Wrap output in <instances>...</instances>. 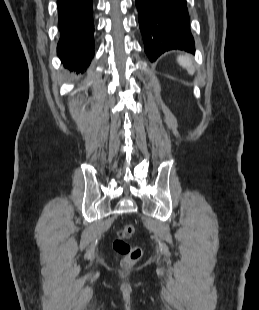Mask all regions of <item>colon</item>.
Here are the masks:
<instances>
[{
  "instance_id": "5ec220e1",
  "label": "colon",
  "mask_w": 259,
  "mask_h": 310,
  "mask_svg": "<svg viewBox=\"0 0 259 310\" xmlns=\"http://www.w3.org/2000/svg\"><path fill=\"white\" fill-rule=\"evenodd\" d=\"M134 227L131 224L123 225L112 242L113 250L122 256L121 264L124 267L133 266L142 257V248L131 245L127 240L133 235Z\"/></svg>"
}]
</instances>
